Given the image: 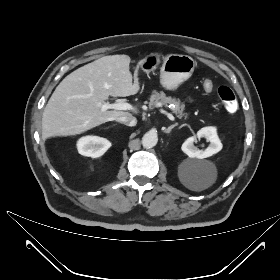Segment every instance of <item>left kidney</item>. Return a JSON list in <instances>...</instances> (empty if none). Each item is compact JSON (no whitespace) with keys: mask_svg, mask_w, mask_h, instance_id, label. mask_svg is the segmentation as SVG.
<instances>
[{"mask_svg":"<svg viewBox=\"0 0 280 280\" xmlns=\"http://www.w3.org/2000/svg\"><path fill=\"white\" fill-rule=\"evenodd\" d=\"M201 137H205L210 142V145L206 149H199L194 145L196 139ZM181 149L190 158L204 159L218 153L222 149V143L218 138L215 127H204L197 132L196 136L186 139ZM187 182L190 184L195 183L194 180H187Z\"/></svg>","mask_w":280,"mask_h":280,"instance_id":"left-kidney-1","label":"left kidney"}]
</instances>
